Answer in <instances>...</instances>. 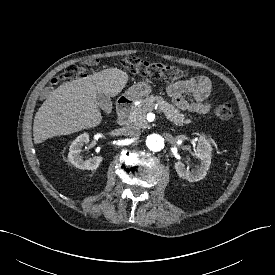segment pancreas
<instances>
[{
  "label": "pancreas",
  "instance_id": "1",
  "mask_svg": "<svg viewBox=\"0 0 275 275\" xmlns=\"http://www.w3.org/2000/svg\"><path fill=\"white\" fill-rule=\"evenodd\" d=\"M156 104L158 110L163 112L174 125L182 126L191 123V120L185 119V115L180 113L172 104L166 102L162 97L154 95L147 96L145 99L140 100V104L132 107L129 118L141 126L146 125V114L153 111Z\"/></svg>",
  "mask_w": 275,
  "mask_h": 275
}]
</instances>
